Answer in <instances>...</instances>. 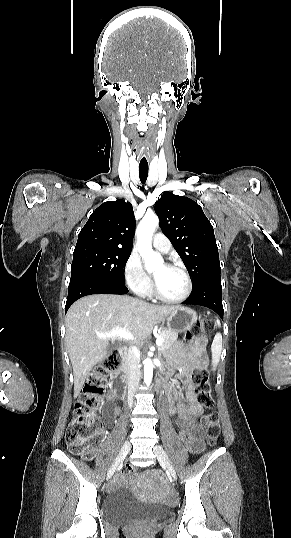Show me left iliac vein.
Listing matches in <instances>:
<instances>
[{
	"instance_id": "4c4485c4",
	"label": "left iliac vein",
	"mask_w": 291,
	"mask_h": 538,
	"mask_svg": "<svg viewBox=\"0 0 291 538\" xmlns=\"http://www.w3.org/2000/svg\"><path fill=\"white\" fill-rule=\"evenodd\" d=\"M153 450H154V453L157 455V457L165 464L168 473L173 477V479H176L175 469L172 465V462L169 456L167 455L163 447L160 445H155Z\"/></svg>"
}]
</instances>
